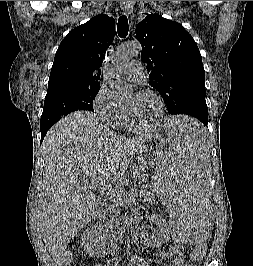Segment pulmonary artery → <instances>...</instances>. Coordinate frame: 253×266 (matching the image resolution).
<instances>
[{
	"mask_svg": "<svg viewBox=\"0 0 253 266\" xmlns=\"http://www.w3.org/2000/svg\"><path fill=\"white\" fill-rule=\"evenodd\" d=\"M122 74L126 79L137 82L143 76V65L139 61H132L125 66Z\"/></svg>",
	"mask_w": 253,
	"mask_h": 266,
	"instance_id": "1",
	"label": "pulmonary artery"
}]
</instances>
